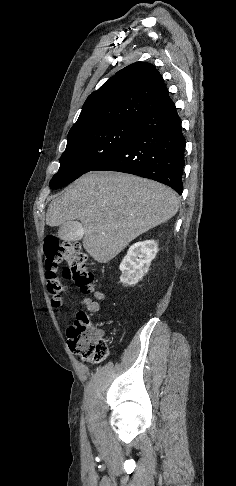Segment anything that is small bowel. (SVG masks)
Masks as SVG:
<instances>
[{"instance_id": "small-bowel-1", "label": "small bowel", "mask_w": 236, "mask_h": 486, "mask_svg": "<svg viewBox=\"0 0 236 486\" xmlns=\"http://www.w3.org/2000/svg\"><path fill=\"white\" fill-rule=\"evenodd\" d=\"M95 300L92 298H84L81 302L80 305L84 307V309L88 312L95 313L99 318H103L104 315L99 313L100 311V302L104 301L107 299V296L100 290H97L94 293Z\"/></svg>"}]
</instances>
